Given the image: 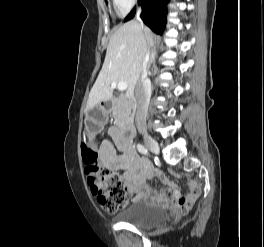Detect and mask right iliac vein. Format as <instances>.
Instances as JSON below:
<instances>
[{"instance_id":"1","label":"right iliac vein","mask_w":264,"mask_h":247,"mask_svg":"<svg viewBox=\"0 0 264 247\" xmlns=\"http://www.w3.org/2000/svg\"><path fill=\"white\" fill-rule=\"evenodd\" d=\"M143 139L146 147L153 153L159 152V146L157 142L148 134L143 133Z\"/></svg>"}]
</instances>
